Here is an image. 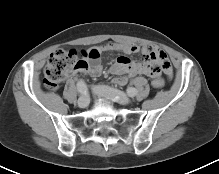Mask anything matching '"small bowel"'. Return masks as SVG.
<instances>
[{
    "label": "small bowel",
    "mask_w": 219,
    "mask_h": 174,
    "mask_svg": "<svg viewBox=\"0 0 219 174\" xmlns=\"http://www.w3.org/2000/svg\"><path fill=\"white\" fill-rule=\"evenodd\" d=\"M92 50L97 51L98 56L92 57ZM118 51L123 55L118 57L111 65L110 72L121 75L115 80L118 85H125L128 77L137 75H145L151 78H156L163 71L167 75H172V68L166 54L157 47L146 45L139 47L134 44H106L83 52L84 60L80 67L76 69L77 72L98 76L102 72V65L100 63V54L103 52ZM141 52L144 62L131 61L129 55ZM152 58L156 62L152 61ZM163 58V60H162ZM154 63L155 65H152Z\"/></svg>",
    "instance_id": "c3829d8e"
}]
</instances>
